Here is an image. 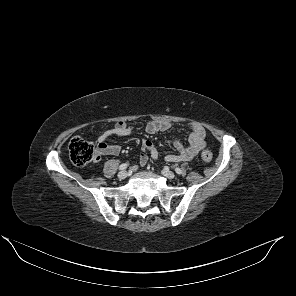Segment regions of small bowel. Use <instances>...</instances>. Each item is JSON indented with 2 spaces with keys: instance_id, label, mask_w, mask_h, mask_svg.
<instances>
[{
  "instance_id": "small-bowel-1",
  "label": "small bowel",
  "mask_w": 296,
  "mask_h": 296,
  "mask_svg": "<svg viewBox=\"0 0 296 296\" xmlns=\"http://www.w3.org/2000/svg\"><path fill=\"white\" fill-rule=\"evenodd\" d=\"M170 128V124L166 121L152 120L147 123L146 131L149 134H155L158 132L167 131ZM133 133V128L126 122H118L112 129L104 130L97 139L98 152L100 155H118L121 152V146L118 144H107L106 140L112 135L128 136ZM205 130L201 125H191V131L189 133V144L185 146L182 141L175 137L173 145L177 150L175 155L165 156L167 162H184L189 161L195 157L201 150L206 147ZM159 152L156 149L154 143L151 140L144 139L142 141V153L139 161L133 166V169L145 167L148 164L149 158L157 160Z\"/></svg>"
}]
</instances>
